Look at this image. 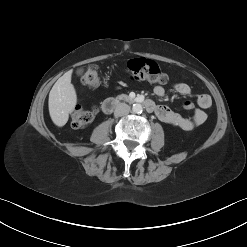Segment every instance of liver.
Wrapping results in <instances>:
<instances>
[{
    "label": "liver",
    "mask_w": 247,
    "mask_h": 247,
    "mask_svg": "<svg viewBox=\"0 0 247 247\" xmlns=\"http://www.w3.org/2000/svg\"><path fill=\"white\" fill-rule=\"evenodd\" d=\"M72 71L66 72L53 85L49 93V114L53 123L58 126H64L73 112L77 95L73 84L71 83Z\"/></svg>",
    "instance_id": "obj_1"
}]
</instances>
